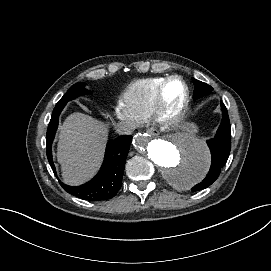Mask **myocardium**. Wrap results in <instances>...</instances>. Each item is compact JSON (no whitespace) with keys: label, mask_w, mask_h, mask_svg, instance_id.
I'll list each match as a JSON object with an SVG mask.
<instances>
[{"label":"myocardium","mask_w":271,"mask_h":271,"mask_svg":"<svg viewBox=\"0 0 271 271\" xmlns=\"http://www.w3.org/2000/svg\"><path fill=\"white\" fill-rule=\"evenodd\" d=\"M179 80L185 86V95L178 102H171L167 98V88L169 84L174 81ZM191 102V89L188 82L179 75H171L165 79V81L160 86L157 98H156V107H155V116L157 120L161 123L166 124H177L179 123L186 115L189 105Z\"/></svg>","instance_id":"obj_1"}]
</instances>
